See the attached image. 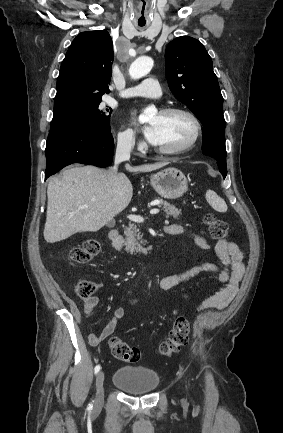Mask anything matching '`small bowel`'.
<instances>
[{"label":"small bowel","mask_w":283,"mask_h":433,"mask_svg":"<svg viewBox=\"0 0 283 433\" xmlns=\"http://www.w3.org/2000/svg\"><path fill=\"white\" fill-rule=\"evenodd\" d=\"M166 232L172 235L189 234L194 243L201 249L207 250L210 248L206 240L197 235L188 232L183 226L172 224L166 227ZM216 256L220 261V265L215 263H204L198 266L191 267L179 274H173L163 277L159 281V288L163 291L171 290L180 284L186 283L202 273H213L217 279L224 284V287L216 294L206 298L200 305L196 307V311L217 308H225L237 294L241 280L245 273L244 255L239 246L230 241L220 240L214 246ZM132 292H129V302L136 303V299L131 297ZM99 303V298L91 295L83 301V312L87 318H91L94 309ZM125 310L118 307L114 310L111 319L101 330L97 333L90 327L89 343L92 346H97L102 341L111 336L116 328L117 323L124 317ZM80 318V315L78 316Z\"/></svg>","instance_id":"1"}]
</instances>
